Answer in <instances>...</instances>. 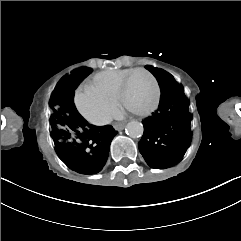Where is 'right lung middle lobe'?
Instances as JSON below:
<instances>
[{"instance_id":"1","label":"right lung middle lobe","mask_w":241,"mask_h":241,"mask_svg":"<svg viewBox=\"0 0 241 241\" xmlns=\"http://www.w3.org/2000/svg\"><path fill=\"white\" fill-rule=\"evenodd\" d=\"M67 87L68 85L64 78L56 86L54 95L49 103L53 140L72 141L74 138V131L70 125L69 116L65 108L66 99L73 98V94L67 90Z\"/></svg>"}]
</instances>
